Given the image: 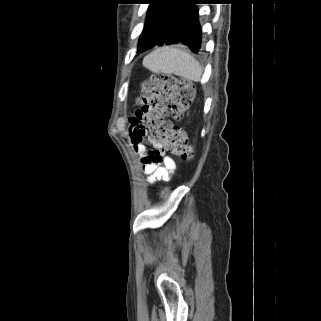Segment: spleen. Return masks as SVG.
<instances>
[{"instance_id": "obj_1", "label": "spleen", "mask_w": 321, "mask_h": 321, "mask_svg": "<svg viewBox=\"0 0 321 321\" xmlns=\"http://www.w3.org/2000/svg\"><path fill=\"white\" fill-rule=\"evenodd\" d=\"M143 66L152 73L175 74L192 81H200L203 72L193 56L176 46L156 48L144 57Z\"/></svg>"}]
</instances>
